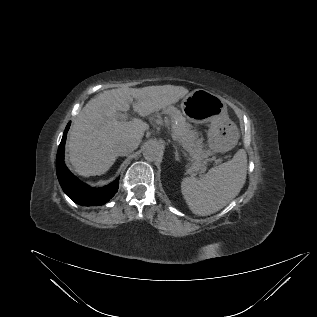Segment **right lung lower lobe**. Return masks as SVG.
<instances>
[{"mask_svg":"<svg viewBox=\"0 0 317 317\" xmlns=\"http://www.w3.org/2000/svg\"><path fill=\"white\" fill-rule=\"evenodd\" d=\"M70 123L67 125L57 152L56 171L59 183L65 192L75 203L84 206H97L108 202L119 187V178L111 184L92 188L77 179L64 163L65 141Z\"/></svg>","mask_w":317,"mask_h":317,"instance_id":"right-lung-lower-lobe-1","label":"right lung lower lobe"}]
</instances>
